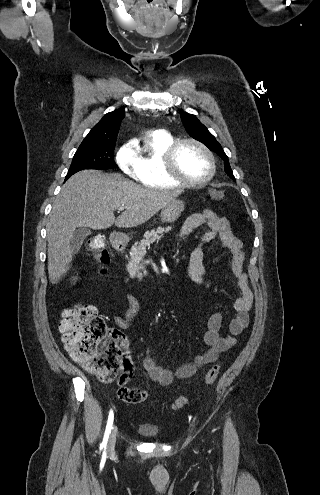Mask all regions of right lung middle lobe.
Returning <instances> with one entry per match:
<instances>
[{"label":"right lung middle lobe","mask_w":320,"mask_h":495,"mask_svg":"<svg viewBox=\"0 0 320 495\" xmlns=\"http://www.w3.org/2000/svg\"><path fill=\"white\" fill-rule=\"evenodd\" d=\"M114 149L115 143L98 146H80L73 157L66 180L76 172L84 169L116 168Z\"/></svg>","instance_id":"right-lung-middle-lobe-1"}]
</instances>
